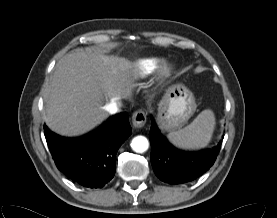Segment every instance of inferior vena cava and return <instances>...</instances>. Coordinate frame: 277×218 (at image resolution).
<instances>
[{"label": "inferior vena cava", "instance_id": "inferior-vena-cava-1", "mask_svg": "<svg viewBox=\"0 0 277 218\" xmlns=\"http://www.w3.org/2000/svg\"><path fill=\"white\" fill-rule=\"evenodd\" d=\"M122 102L120 99L113 100L109 105L106 106V110L111 114L121 111Z\"/></svg>", "mask_w": 277, "mask_h": 218}]
</instances>
